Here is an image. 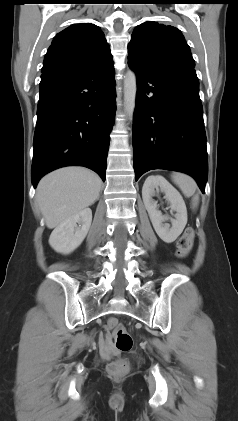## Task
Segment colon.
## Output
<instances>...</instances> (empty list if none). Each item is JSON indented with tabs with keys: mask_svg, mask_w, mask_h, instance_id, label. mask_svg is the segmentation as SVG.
<instances>
[{
	"mask_svg": "<svg viewBox=\"0 0 238 421\" xmlns=\"http://www.w3.org/2000/svg\"><path fill=\"white\" fill-rule=\"evenodd\" d=\"M194 239V231L191 228L184 230L177 242V255L181 258L186 257L190 252ZM108 330L111 333L114 344L120 352H129L133 346V340L123 324L117 319H110ZM128 370V363L124 359L113 361L108 366L110 374L115 376L123 375Z\"/></svg>",
	"mask_w": 238,
	"mask_h": 421,
	"instance_id": "5ec220e1",
	"label": "colon"
}]
</instances>
